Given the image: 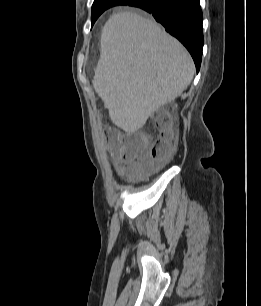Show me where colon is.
<instances>
[{
    "mask_svg": "<svg viewBox=\"0 0 261 306\" xmlns=\"http://www.w3.org/2000/svg\"><path fill=\"white\" fill-rule=\"evenodd\" d=\"M155 126L159 132L157 139L148 149V137L143 134H130L120 145L124 154L130 160L143 161L146 154L150 158V165L147 171L136 172L131 168H126L123 172L129 177L144 176L147 172L159 167L170 160L173 154V141L175 138V119L167 110H159L155 115ZM111 150L118 146L114 138H110Z\"/></svg>",
    "mask_w": 261,
    "mask_h": 306,
    "instance_id": "1",
    "label": "colon"
}]
</instances>
